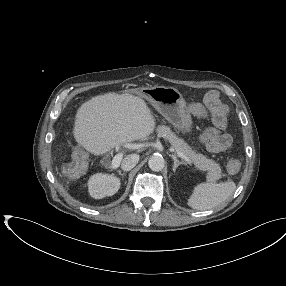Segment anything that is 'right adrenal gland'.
I'll return each instance as SVG.
<instances>
[{
    "label": "right adrenal gland",
    "mask_w": 286,
    "mask_h": 286,
    "mask_svg": "<svg viewBox=\"0 0 286 286\" xmlns=\"http://www.w3.org/2000/svg\"><path fill=\"white\" fill-rule=\"evenodd\" d=\"M118 173H119V175L122 176V177H125V176H126V173H121L120 170L118 171Z\"/></svg>",
    "instance_id": "2a0ac1e0"
}]
</instances>
